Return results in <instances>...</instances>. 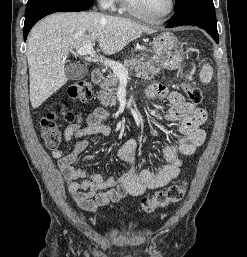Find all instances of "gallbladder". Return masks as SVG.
<instances>
[{"instance_id":"gallbladder-1","label":"gallbladder","mask_w":247,"mask_h":257,"mask_svg":"<svg viewBox=\"0 0 247 257\" xmlns=\"http://www.w3.org/2000/svg\"><path fill=\"white\" fill-rule=\"evenodd\" d=\"M65 73L69 80H81L88 74L87 66L78 63H69L65 66Z\"/></svg>"}]
</instances>
